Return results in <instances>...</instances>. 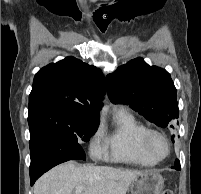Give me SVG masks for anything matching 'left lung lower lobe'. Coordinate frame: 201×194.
Wrapping results in <instances>:
<instances>
[{
	"label": "left lung lower lobe",
	"instance_id": "left-lung-lower-lobe-1",
	"mask_svg": "<svg viewBox=\"0 0 201 194\" xmlns=\"http://www.w3.org/2000/svg\"><path fill=\"white\" fill-rule=\"evenodd\" d=\"M176 170H180V162L179 160H176L175 161V167H174Z\"/></svg>",
	"mask_w": 201,
	"mask_h": 194
}]
</instances>
